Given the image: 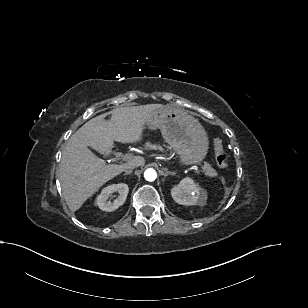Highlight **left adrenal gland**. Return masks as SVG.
<instances>
[{"label":"left adrenal gland","instance_id":"1","mask_svg":"<svg viewBox=\"0 0 308 308\" xmlns=\"http://www.w3.org/2000/svg\"><path fill=\"white\" fill-rule=\"evenodd\" d=\"M163 170H164V172H163L164 177H166L168 175H175L176 174L175 172L169 171L167 168H164Z\"/></svg>","mask_w":308,"mask_h":308}]
</instances>
